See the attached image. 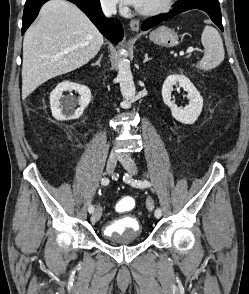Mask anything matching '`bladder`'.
Listing matches in <instances>:
<instances>
[{
  "instance_id": "1",
  "label": "bladder",
  "mask_w": 249,
  "mask_h": 294,
  "mask_svg": "<svg viewBox=\"0 0 249 294\" xmlns=\"http://www.w3.org/2000/svg\"><path fill=\"white\" fill-rule=\"evenodd\" d=\"M142 233V225L135 218L127 216L108 222L104 229V239L129 238L138 240Z\"/></svg>"
}]
</instances>
